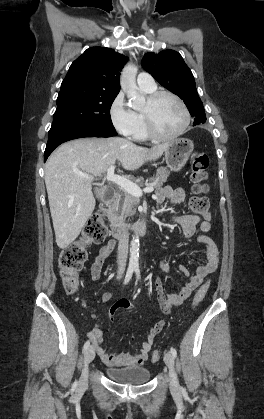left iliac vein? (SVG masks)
I'll return each mask as SVG.
<instances>
[{
	"label": "left iliac vein",
	"mask_w": 264,
	"mask_h": 419,
	"mask_svg": "<svg viewBox=\"0 0 264 419\" xmlns=\"http://www.w3.org/2000/svg\"><path fill=\"white\" fill-rule=\"evenodd\" d=\"M164 362L169 368L170 386L172 389H175L178 386V380L174 369V357L171 352L165 353Z\"/></svg>",
	"instance_id": "1"
}]
</instances>
